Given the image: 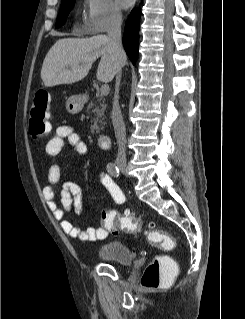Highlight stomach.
<instances>
[{"instance_id":"0dacf381","label":"stomach","mask_w":245,"mask_h":319,"mask_svg":"<svg viewBox=\"0 0 245 319\" xmlns=\"http://www.w3.org/2000/svg\"><path fill=\"white\" fill-rule=\"evenodd\" d=\"M84 106V100L81 95H72L66 101V109L70 114L79 113Z\"/></svg>"}]
</instances>
